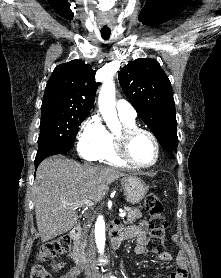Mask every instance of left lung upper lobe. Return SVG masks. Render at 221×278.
<instances>
[{"label":"left lung upper lobe","mask_w":221,"mask_h":278,"mask_svg":"<svg viewBox=\"0 0 221 278\" xmlns=\"http://www.w3.org/2000/svg\"><path fill=\"white\" fill-rule=\"evenodd\" d=\"M120 85L142 120L170 154L178 146L176 111L171 83L154 59L131 61L118 73Z\"/></svg>","instance_id":"1"}]
</instances>
